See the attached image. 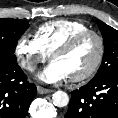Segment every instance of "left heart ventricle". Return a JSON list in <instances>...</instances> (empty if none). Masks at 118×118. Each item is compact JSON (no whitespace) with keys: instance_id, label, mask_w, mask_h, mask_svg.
<instances>
[{"instance_id":"b2bd125f","label":"left heart ventricle","mask_w":118,"mask_h":118,"mask_svg":"<svg viewBox=\"0 0 118 118\" xmlns=\"http://www.w3.org/2000/svg\"><path fill=\"white\" fill-rule=\"evenodd\" d=\"M98 53L97 42L93 37H87L71 51L57 55L53 62L60 64L68 77L85 73L94 63Z\"/></svg>"}]
</instances>
